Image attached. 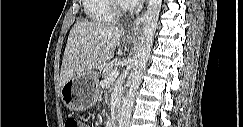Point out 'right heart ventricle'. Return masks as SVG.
I'll return each mask as SVG.
<instances>
[{"label": "right heart ventricle", "instance_id": "e07e8e85", "mask_svg": "<svg viewBox=\"0 0 243 127\" xmlns=\"http://www.w3.org/2000/svg\"><path fill=\"white\" fill-rule=\"evenodd\" d=\"M114 0H85L84 13L86 18L95 24L112 23L116 20L113 10Z\"/></svg>", "mask_w": 243, "mask_h": 127}]
</instances>
